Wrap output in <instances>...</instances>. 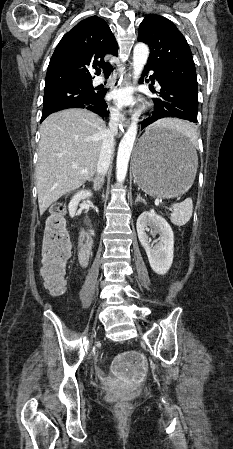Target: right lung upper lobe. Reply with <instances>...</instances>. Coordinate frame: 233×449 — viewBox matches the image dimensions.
<instances>
[{
	"mask_svg": "<svg viewBox=\"0 0 233 449\" xmlns=\"http://www.w3.org/2000/svg\"><path fill=\"white\" fill-rule=\"evenodd\" d=\"M106 54H118L117 42L107 23L97 16L82 20L57 45L47 69L44 91L92 83L89 68L104 62Z\"/></svg>",
	"mask_w": 233,
	"mask_h": 449,
	"instance_id": "cb5924a9",
	"label": "right lung upper lobe"
}]
</instances>
